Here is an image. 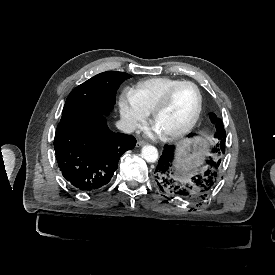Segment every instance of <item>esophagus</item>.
<instances>
[{"instance_id":"1","label":"esophagus","mask_w":275,"mask_h":275,"mask_svg":"<svg viewBox=\"0 0 275 275\" xmlns=\"http://www.w3.org/2000/svg\"><path fill=\"white\" fill-rule=\"evenodd\" d=\"M147 144V142L146 141H138L137 142V144H136V147H141V146H144V145H146Z\"/></svg>"}]
</instances>
